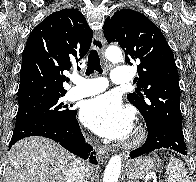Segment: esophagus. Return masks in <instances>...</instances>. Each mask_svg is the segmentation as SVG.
I'll list each match as a JSON object with an SVG mask.
<instances>
[{"label":"esophagus","mask_w":196,"mask_h":182,"mask_svg":"<svg viewBox=\"0 0 196 182\" xmlns=\"http://www.w3.org/2000/svg\"><path fill=\"white\" fill-rule=\"evenodd\" d=\"M92 46L97 49L101 54L104 53L105 49V40L103 38V35L101 33H95L92 39ZM110 148L109 147H98L97 148V155L98 158L103 161L107 159L110 156Z\"/></svg>","instance_id":"1"}]
</instances>
